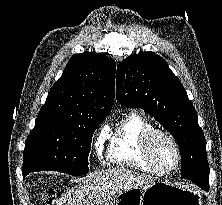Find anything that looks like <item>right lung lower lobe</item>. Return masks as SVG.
Segmentation results:
<instances>
[{
	"instance_id": "1",
	"label": "right lung lower lobe",
	"mask_w": 222,
	"mask_h": 205,
	"mask_svg": "<svg viewBox=\"0 0 222 205\" xmlns=\"http://www.w3.org/2000/svg\"><path fill=\"white\" fill-rule=\"evenodd\" d=\"M22 173H23V177L25 178V176H26L29 172L22 170Z\"/></svg>"
}]
</instances>
